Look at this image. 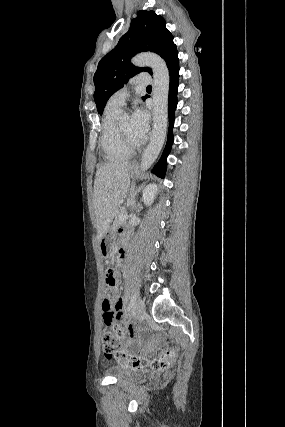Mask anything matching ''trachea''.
Listing matches in <instances>:
<instances>
[{"instance_id": "obj_1", "label": "trachea", "mask_w": 285, "mask_h": 427, "mask_svg": "<svg viewBox=\"0 0 285 427\" xmlns=\"http://www.w3.org/2000/svg\"><path fill=\"white\" fill-rule=\"evenodd\" d=\"M151 88H152L151 85L147 86V89H151Z\"/></svg>"}]
</instances>
